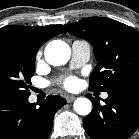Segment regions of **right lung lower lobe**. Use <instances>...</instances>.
Here are the masks:
<instances>
[{
    "label": "right lung lower lobe",
    "mask_w": 139,
    "mask_h": 139,
    "mask_svg": "<svg viewBox=\"0 0 139 139\" xmlns=\"http://www.w3.org/2000/svg\"><path fill=\"white\" fill-rule=\"evenodd\" d=\"M66 103L59 95L48 96L38 107L28 97L0 96V139H47L55 113Z\"/></svg>",
    "instance_id": "right-lung-lower-lobe-1"
}]
</instances>
